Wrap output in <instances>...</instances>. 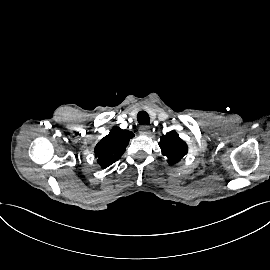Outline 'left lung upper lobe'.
<instances>
[{"label": "left lung upper lobe", "mask_w": 270, "mask_h": 270, "mask_svg": "<svg viewBox=\"0 0 270 270\" xmlns=\"http://www.w3.org/2000/svg\"><path fill=\"white\" fill-rule=\"evenodd\" d=\"M159 146L162 155L167 157L170 165L179 162L188 152L187 144L179 138L175 131H170L161 136Z\"/></svg>", "instance_id": "1"}]
</instances>
